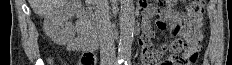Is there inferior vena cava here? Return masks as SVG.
Returning <instances> with one entry per match:
<instances>
[{"mask_svg": "<svg viewBox=\"0 0 232 65\" xmlns=\"http://www.w3.org/2000/svg\"><path fill=\"white\" fill-rule=\"evenodd\" d=\"M100 43V53L103 60L116 59L114 37L111 28L108 0H92Z\"/></svg>", "mask_w": 232, "mask_h": 65, "instance_id": "1", "label": "inferior vena cava"}]
</instances>
